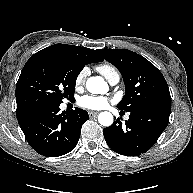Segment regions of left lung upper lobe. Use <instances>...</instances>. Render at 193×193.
Masks as SVG:
<instances>
[{"label":"left lung upper lobe","instance_id":"obj_1","mask_svg":"<svg viewBox=\"0 0 193 193\" xmlns=\"http://www.w3.org/2000/svg\"><path fill=\"white\" fill-rule=\"evenodd\" d=\"M98 53L122 74L125 95L117 105L119 110L131 112L171 100L162 73L143 56L126 49H102Z\"/></svg>","mask_w":193,"mask_h":193}]
</instances>
